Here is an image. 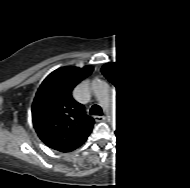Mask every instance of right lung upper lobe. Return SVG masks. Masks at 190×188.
<instances>
[{"mask_svg":"<svg viewBox=\"0 0 190 188\" xmlns=\"http://www.w3.org/2000/svg\"><path fill=\"white\" fill-rule=\"evenodd\" d=\"M92 67L67 66L49 74L32 105V119L39 138L50 148L68 151L81 145L92 131L94 120L72 97L73 88Z\"/></svg>","mask_w":190,"mask_h":188,"instance_id":"obj_1","label":"right lung upper lobe"}]
</instances>
